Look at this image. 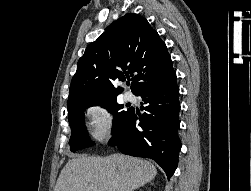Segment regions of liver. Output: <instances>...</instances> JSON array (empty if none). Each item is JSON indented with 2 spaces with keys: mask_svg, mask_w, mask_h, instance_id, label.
Returning a JSON list of instances; mask_svg holds the SVG:
<instances>
[{
  "mask_svg": "<svg viewBox=\"0 0 251 191\" xmlns=\"http://www.w3.org/2000/svg\"><path fill=\"white\" fill-rule=\"evenodd\" d=\"M54 191H133L154 179L157 169L140 157L112 153L107 157L71 155Z\"/></svg>",
  "mask_w": 251,
  "mask_h": 191,
  "instance_id": "1",
  "label": "liver"
}]
</instances>
